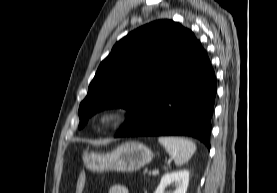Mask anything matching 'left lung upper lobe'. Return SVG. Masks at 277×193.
Wrapping results in <instances>:
<instances>
[{
  "label": "left lung upper lobe",
  "instance_id": "obj_1",
  "mask_svg": "<svg viewBox=\"0 0 277 193\" xmlns=\"http://www.w3.org/2000/svg\"><path fill=\"white\" fill-rule=\"evenodd\" d=\"M197 42L189 29L172 20L130 32L101 62L79 106V128L96 112L113 107L128 111L125 125L187 60Z\"/></svg>",
  "mask_w": 277,
  "mask_h": 193
}]
</instances>
